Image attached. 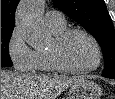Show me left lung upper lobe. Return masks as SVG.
I'll list each match as a JSON object with an SVG mask.
<instances>
[{"instance_id": "5c2ea615", "label": "left lung upper lobe", "mask_w": 115, "mask_h": 99, "mask_svg": "<svg viewBox=\"0 0 115 99\" xmlns=\"http://www.w3.org/2000/svg\"><path fill=\"white\" fill-rule=\"evenodd\" d=\"M52 1L94 36L104 55L103 76L115 79V31L104 0Z\"/></svg>"}]
</instances>
